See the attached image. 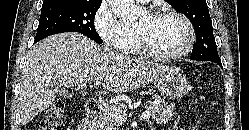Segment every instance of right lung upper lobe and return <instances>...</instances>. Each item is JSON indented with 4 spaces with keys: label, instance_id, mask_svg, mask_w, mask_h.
Wrapping results in <instances>:
<instances>
[{
    "label": "right lung upper lobe",
    "instance_id": "cb5924a9",
    "mask_svg": "<svg viewBox=\"0 0 249 130\" xmlns=\"http://www.w3.org/2000/svg\"><path fill=\"white\" fill-rule=\"evenodd\" d=\"M56 1H60V0H45V1L43 2V5H44V4L53 3V2H56ZM80 1L102 2V0H80Z\"/></svg>",
    "mask_w": 249,
    "mask_h": 130
}]
</instances>
